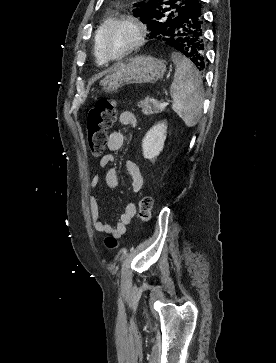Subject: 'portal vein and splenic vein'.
Segmentation results:
<instances>
[{"instance_id": "portal-vein-and-splenic-vein-1", "label": "portal vein and splenic vein", "mask_w": 276, "mask_h": 363, "mask_svg": "<svg viewBox=\"0 0 276 363\" xmlns=\"http://www.w3.org/2000/svg\"><path fill=\"white\" fill-rule=\"evenodd\" d=\"M167 105H168V102H165V101H163L159 104L160 108H162V109H164Z\"/></svg>"}]
</instances>
